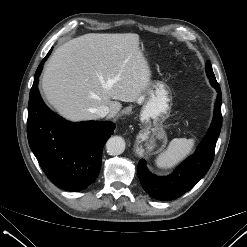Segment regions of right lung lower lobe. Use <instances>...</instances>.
<instances>
[{"instance_id": "right-lung-lower-lobe-1", "label": "right lung lower lobe", "mask_w": 247, "mask_h": 247, "mask_svg": "<svg viewBox=\"0 0 247 247\" xmlns=\"http://www.w3.org/2000/svg\"><path fill=\"white\" fill-rule=\"evenodd\" d=\"M38 77H34L28 104L30 148L44 173L57 187L67 191L83 190L99 174L103 146L113 134L115 125L64 120L42 101L37 89Z\"/></svg>"}]
</instances>
